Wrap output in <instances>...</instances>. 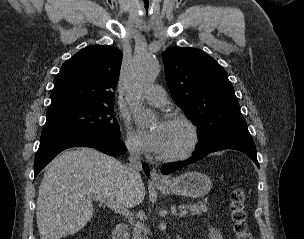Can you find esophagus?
Returning a JSON list of instances; mask_svg holds the SVG:
<instances>
[{
	"label": "esophagus",
	"instance_id": "obj_1",
	"mask_svg": "<svg viewBox=\"0 0 304 239\" xmlns=\"http://www.w3.org/2000/svg\"><path fill=\"white\" fill-rule=\"evenodd\" d=\"M150 179L154 184H162L165 182V179L154 168L151 170Z\"/></svg>",
	"mask_w": 304,
	"mask_h": 239
}]
</instances>
